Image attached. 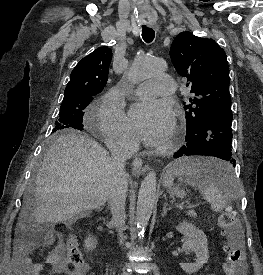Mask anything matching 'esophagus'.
<instances>
[{
    "instance_id": "obj_1",
    "label": "esophagus",
    "mask_w": 263,
    "mask_h": 275,
    "mask_svg": "<svg viewBox=\"0 0 263 275\" xmlns=\"http://www.w3.org/2000/svg\"><path fill=\"white\" fill-rule=\"evenodd\" d=\"M132 165H133V171L135 173L143 172L146 169H148V166H143V160L140 157H136L133 160Z\"/></svg>"
}]
</instances>
